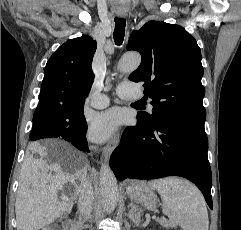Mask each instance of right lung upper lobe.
<instances>
[{
	"label": "right lung upper lobe",
	"instance_id": "right-lung-upper-lobe-1",
	"mask_svg": "<svg viewBox=\"0 0 241 230\" xmlns=\"http://www.w3.org/2000/svg\"><path fill=\"white\" fill-rule=\"evenodd\" d=\"M96 48V41L82 36L68 40L52 54L45 67L37 114L83 106L94 80L91 64Z\"/></svg>",
	"mask_w": 241,
	"mask_h": 230
}]
</instances>
